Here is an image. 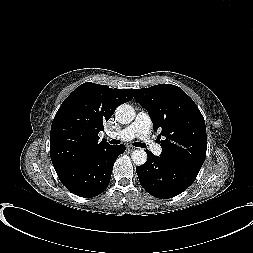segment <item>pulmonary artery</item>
I'll return each instance as SVG.
<instances>
[{"label":"pulmonary artery","mask_w":253,"mask_h":253,"mask_svg":"<svg viewBox=\"0 0 253 253\" xmlns=\"http://www.w3.org/2000/svg\"><path fill=\"white\" fill-rule=\"evenodd\" d=\"M151 120L146 112H139L134 121L118 132L110 133L109 136L121 140L139 138L157 156L162 153L160 145L156 144L150 135Z\"/></svg>","instance_id":"1"}]
</instances>
